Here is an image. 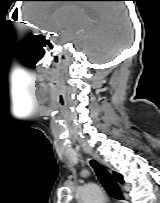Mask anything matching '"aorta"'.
<instances>
[{
	"label": "aorta",
	"instance_id": "762f6f07",
	"mask_svg": "<svg viewBox=\"0 0 160 203\" xmlns=\"http://www.w3.org/2000/svg\"><path fill=\"white\" fill-rule=\"evenodd\" d=\"M81 203H105L104 193L95 183L85 185L80 191Z\"/></svg>",
	"mask_w": 160,
	"mask_h": 203
}]
</instances>
